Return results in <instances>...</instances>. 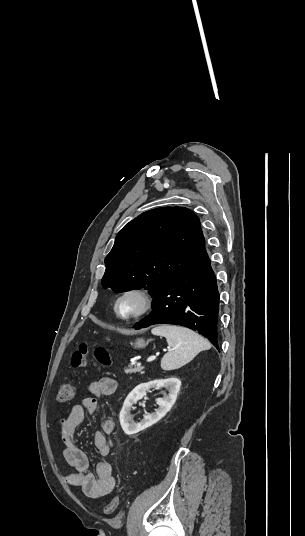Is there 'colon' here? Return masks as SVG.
<instances>
[{
	"instance_id": "5ec220e1",
	"label": "colon",
	"mask_w": 305,
	"mask_h": 536,
	"mask_svg": "<svg viewBox=\"0 0 305 536\" xmlns=\"http://www.w3.org/2000/svg\"><path fill=\"white\" fill-rule=\"evenodd\" d=\"M94 355L96 361L103 366H110L112 360L108 350L105 347L97 346L92 349L90 343L81 342L77 349L72 352L71 355V368L73 370L82 369L85 367L87 358L90 354ZM74 386L71 383L63 384L57 394V400L61 404H67L71 401L73 397ZM119 504V498L117 495H114L105 507L104 513L106 515L112 514Z\"/></svg>"
}]
</instances>
